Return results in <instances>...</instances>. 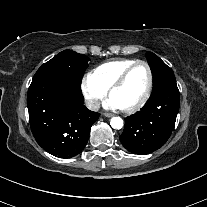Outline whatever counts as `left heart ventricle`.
<instances>
[{
  "mask_svg": "<svg viewBox=\"0 0 207 207\" xmlns=\"http://www.w3.org/2000/svg\"><path fill=\"white\" fill-rule=\"evenodd\" d=\"M147 84V70L143 65H138L129 73L122 87L112 94L111 99L119 108H128L142 98Z\"/></svg>",
  "mask_w": 207,
  "mask_h": 207,
  "instance_id": "b2bd125f",
  "label": "left heart ventricle"
}]
</instances>
